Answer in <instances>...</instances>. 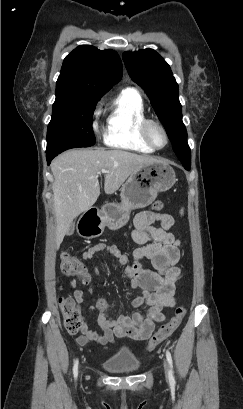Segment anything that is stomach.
Instances as JSON below:
<instances>
[{
	"mask_svg": "<svg viewBox=\"0 0 243 409\" xmlns=\"http://www.w3.org/2000/svg\"><path fill=\"white\" fill-rule=\"evenodd\" d=\"M176 182L174 169L163 161L143 164L128 178L121 189L120 204H106L86 225H80L78 232L85 238L100 236L107 226L110 230L123 227L133 209L149 206L159 192L169 190Z\"/></svg>",
	"mask_w": 243,
	"mask_h": 409,
	"instance_id": "1",
	"label": "stomach"
}]
</instances>
